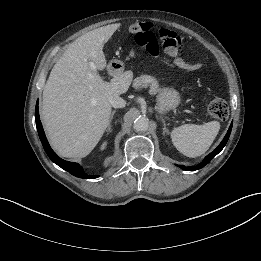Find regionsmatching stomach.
Here are the masks:
<instances>
[{"label": "stomach", "instance_id": "0dacf381", "mask_svg": "<svg viewBox=\"0 0 261 261\" xmlns=\"http://www.w3.org/2000/svg\"><path fill=\"white\" fill-rule=\"evenodd\" d=\"M119 65V70L123 69V66L120 67V63L117 61H112L110 63L111 67L116 68ZM180 94L173 87H162L158 91L157 96V111L161 114H164L170 110L175 109L180 104Z\"/></svg>", "mask_w": 261, "mask_h": 261}]
</instances>
